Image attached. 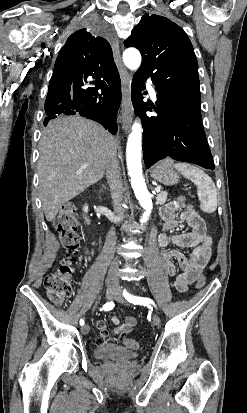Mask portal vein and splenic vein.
<instances>
[{
  "mask_svg": "<svg viewBox=\"0 0 247 413\" xmlns=\"http://www.w3.org/2000/svg\"><path fill=\"white\" fill-rule=\"evenodd\" d=\"M155 190H157V192H160V188H155Z\"/></svg>",
  "mask_w": 247,
  "mask_h": 413,
  "instance_id": "1",
  "label": "portal vein and splenic vein"
}]
</instances>
